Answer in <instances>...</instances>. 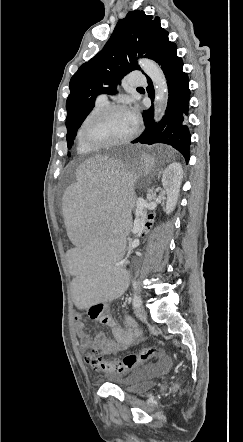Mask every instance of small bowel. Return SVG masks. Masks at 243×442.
I'll return each instance as SVG.
<instances>
[{
    "label": "small bowel",
    "mask_w": 243,
    "mask_h": 442,
    "mask_svg": "<svg viewBox=\"0 0 243 442\" xmlns=\"http://www.w3.org/2000/svg\"><path fill=\"white\" fill-rule=\"evenodd\" d=\"M103 311L104 304L100 303L99 307H89V316L107 325L111 329L114 339L108 338L104 332H98L94 337H91L86 332L82 314H77L75 328L82 348H89L102 354H116L133 345L140 338L141 332L131 317L124 318L125 328H123L112 317L104 315Z\"/></svg>",
    "instance_id": "c3829d8e"
}]
</instances>
